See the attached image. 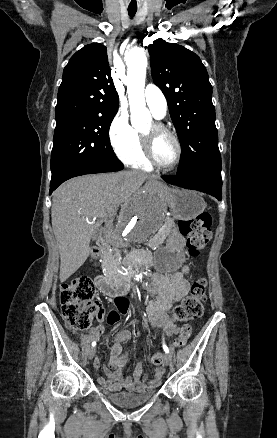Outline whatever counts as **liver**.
<instances>
[{"label": "liver", "instance_id": "1", "mask_svg": "<svg viewBox=\"0 0 277 438\" xmlns=\"http://www.w3.org/2000/svg\"><path fill=\"white\" fill-rule=\"evenodd\" d=\"M146 178L148 174L137 170L89 174L72 178L55 190L51 222L60 252V282H66L84 264L100 224H112L116 208L131 205L132 188H140ZM122 212L123 206L120 218Z\"/></svg>", "mask_w": 277, "mask_h": 438}]
</instances>
